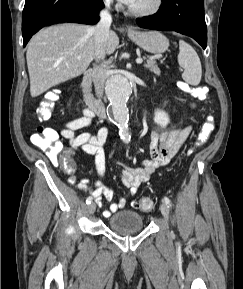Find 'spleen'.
Here are the masks:
<instances>
[{
    "label": "spleen",
    "instance_id": "spleen-1",
    "mask_svg": "<svg viewBox=\"0 0 243 289\" xmlns=\"http://www.w3.org/2000/svg\"><path fill=\"white\" fill-rule=\"evenodd\" d=\"M178 63L184 69L183 80L190 85H198L202 76L201 62L194 48L183 40L179 41Z\"/></svg>",
    "mask_w": 243,
    "mask_h": 289
}]
</instances>
